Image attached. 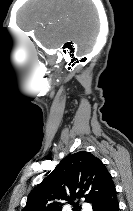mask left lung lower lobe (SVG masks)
Segmentation results:
<instances>
[{"instance_id": "obj_1", "label": "left lung lower lobe", "mask_w": 133, "mask_h": 211, "mask_svg": "<svg viewBox=\"0 0 133 211\" xmlns=\"http://www.w3.org/2000/svg\"><path fill=\"white\" fill-rule=\"evenodd\" d=\"M92 208L93 211H119L115 186H112L104 196L95 201Z\"/></svg>"}]
</instances>
